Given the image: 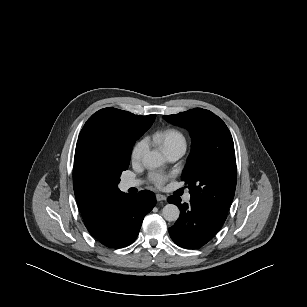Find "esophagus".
Returning <instances> with one entry per match:
<instances>
[{
	"label": "esophagus",
	"mask_w": 307,
	"mask_h": 307,
	"mask_svg": "<svg viewBox=\"0 0 307 307\" xmlns=\"http://www.w3.org/2000/svg\"><path fill=\"white\" fill-rule=\"evenodd\" d=\"M156 199L157 201H165L166 200V196L165 195H162V194H157L156 195Z\"/></svg>",
	"instance_id": "1"
}]
</instances>
